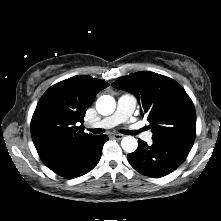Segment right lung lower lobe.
<instances>
[{"label":"right lung lower lobe","mask_w":221,"mask_h":221,"mask_svg":"<svg viewBox=\"0 0 221 221\" xmlns=\"http://www.w3.org/2000/svg\"><path fill=\"white\" fill-rule=\"evenodd\" d=\"M106 135L94 137L80 152H78L64 166L54 170L60 176L68 179L76 178L88 173L99 162Z\"/></svg>","instance_id":"1"}]
</instances>
